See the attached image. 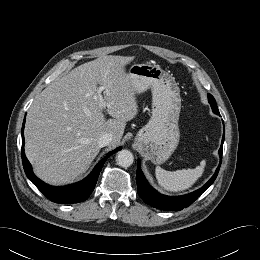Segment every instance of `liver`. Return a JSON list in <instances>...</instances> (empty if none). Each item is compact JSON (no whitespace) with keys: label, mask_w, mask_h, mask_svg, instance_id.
I'll use <instances>...</instances> for the list:
<instances>
[{"label":"liver","mask_w":260,"mask_h":260,"mask_svg":"<svg viewBox=\"0 0 260 260\" xmlns=\"http://www.w3.org/2000/svg\"><path fill=\"white\" fill-rule=\"evenodd\" d=\"M134 57L103 56L84 63L46 87L28 110L25 153L35 174L53 185L68 184L84 174L98 155L99 137L111 133L117 146L126 122L138 113L125 66ZM103 86L106 120L99 106Z\"/></svg>","instance_id":"1"}]
</instances>
